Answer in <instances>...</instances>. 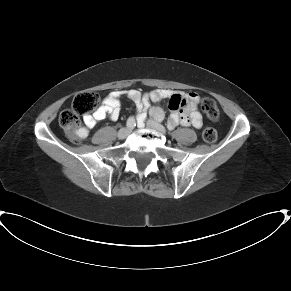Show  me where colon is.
I'll return each mask as SVG.
<instances>
[{
  "mask_svg": "<svg viewBox=\"0 0 291 291\" xmlns=\"http://www.w3.org/2000/svg\"><path fill=\"white\" fill-rule=\"evenodd\" d=\"M99 102V96L96 92L86 90L77 93L71 103L70 108L63 110L59 115V125L64 129L70 140L79 144L81 138L78 135L80 128L79 117L88 115L92 112ZM201 108L204 113L212 120H217L219 117V108L216 102L210 98L205 97L201 100ZM169 107L171 110L177 108V103L170 102ZM203 140L206 143H213L217 138V132L215 129L208 127L204 129L202 133Z\"/></svg>",
  "mask_w": 291,
  "mask_h": 291,
  "instance_id": "1",
  "label": "colon"
}]
</instances>
